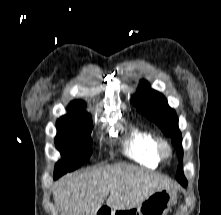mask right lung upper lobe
<instances>
[{
  "instance_id": "1",
  "label": "right lung upper lobe",
  "mask_w": 221,
  "mask_h": 215,
  "mask_svg": "<svg viewBox=\"0 0 221 215\" xmlns=\"http://www.w3.org/2000/svg\"><path fill=\"white\" fill-rule=\"evenodd\" d=\"M76 105H85V103L83 101L76 100V101H73L68 107H73Z\"/></svg>"
}]
</instances>
